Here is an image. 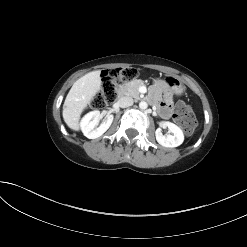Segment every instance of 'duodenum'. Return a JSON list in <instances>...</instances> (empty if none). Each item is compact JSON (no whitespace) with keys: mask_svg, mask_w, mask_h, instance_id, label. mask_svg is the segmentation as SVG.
<instances>
[{"mask_svg":"<svg viewBox=\"0 0 247 247\" xmlns=\"http://www.w3.org/2000/svg\"><path fill=\"white\" fill-rule=\"evenodd\" d=\"M117 90H118V91H121V90H122V87H121V86H118V87H117ZM122 95H123V94L121 93L120 96H122Z\"/></svg>","mask_w":247,"mask_h":247,"instance_id":"obj_1","label":"duodenum"}]
</instances>
